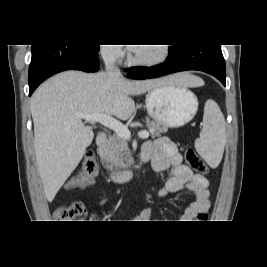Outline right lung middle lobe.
Segmentation results:
<instances>
[{
  "instance_id": "1",
  "label": "right lung middle lobe",
  "mask_w": 267,
  "mask_h": 267,
  "mask_svg": "<svg viewBox=\"0 0 267 267\" xmlns=\"http://www.w3.org/2000/svg\"><path fill=\"white\" fill-rule=\"evenodd\" d=\"M90 47H92L93 49H95V50H99V45H89Z\"/></svg>"
}]
</instances>
